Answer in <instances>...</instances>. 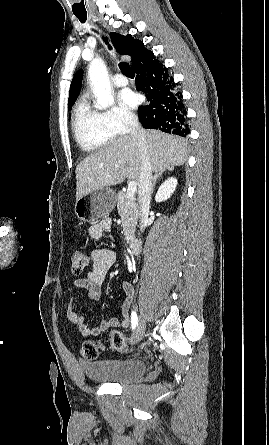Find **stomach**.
Instances as JSON below:
<instances>
[{
	"label": "stomach",
	"mask_w": 269,
	"mask_h": 445,
	"mask_svg": "<svg viewBox=\"0 0 269 445\" xmlns=\"http://www.w3.org/2000/svg\"><path fill=\"white\" fill-rule=\"evenodd\" d=\"M116 201L117 197L112 189L101 188L77 199L75 214L82 222H97L114 209Z\"/></svg>",
	"instance_id": "stomach-1"
}]
</instances>
